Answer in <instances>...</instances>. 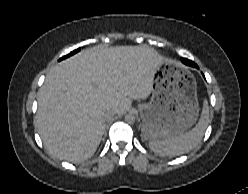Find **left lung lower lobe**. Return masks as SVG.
I'll return each mask as SVG.
<instances>
[{
    "label": "left lung lower lobe",
    "instance_id": "0a47b994",
    "mask_svg": "<svg viewBox=\"0 0 248 194\" xmlns=\"http://www.w3.org/2000/svg\"><path fill=\"white\" fill-rule=\"evenodd\" d=\"M182 62H183L184 64L188 65V66H193V67L198 68V66H197L195 63H193L192 61H189V60H187V59H182Z\"/></svg>",
    "mask_w": 248,
    "mask_h": 194
}]
</instances>
